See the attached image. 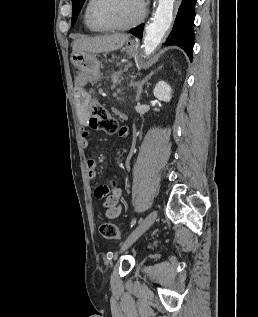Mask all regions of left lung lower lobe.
Masks as SVG:
<instances>
[{"label": "left lung lower lobe", "mask_w": 258, "mask_h": 317, "mask_svg": "<svg viewBox=\"0 0 258 317\" xmlns=\"http://www.w3.org/2000/svg\"><path fill=\"white\" fill-rule=\"evenodd\" d=\"M197 0H183L176 16L173 30L164 45H177L181 47L192 61L194 42L195 4ZM143 25L131 30L136 37L142 38Z\"/></svg>", "instance_id": "0a47b994"}]
</instances>
